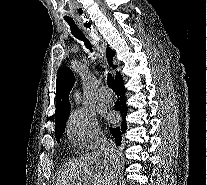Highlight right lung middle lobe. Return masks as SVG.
<instances>
[{"mask_svg":"<svg viewBox=\"0 0 207 185\" xmlns=\"http://www.w3.org/2000/svg\"><path fill=\"white\" fill-rule=\"evenodd\" d=\"M64 128H65V126H62V127H59V128L55 129V136H56L57 142L60 141V138H61V136L63 135V132H64Z\"/></svg>","mask_w":207,"mask_h":185,"instance_id":"right-lung-middle-lobe-1","label":"right lung middle lobe"}]
</instances>
